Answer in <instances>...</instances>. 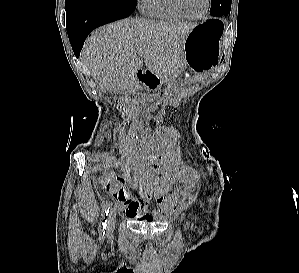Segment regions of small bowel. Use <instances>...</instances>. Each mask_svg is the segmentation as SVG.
Listing matches in <instances>:
<instances>
[{
    "label": "small bowel",
    "mask_w": 299,
    "mask_h": 273,
    "mask_svg": "<svg viewBox=\"0 0 299 273\" xmlns=\"http://www.w3.org/2000/svg\"><path fill=\"white\" fill-rule=\"evenodd\" d=\"M157 167V166H156ZM104 187L114 196V198L124 206L125 213L129 217H140L142 220L151 221L153 215L143 210L144 206L148 204L150 200H154L157 205H165L166 200L162 193L155 196L146 194L139 199H131L128 192L122 185L125 183L123 177H118L114 182L102 179Z\"/></svg>",
    "instance_id": "small-bowel-1"
}]
</instances>
